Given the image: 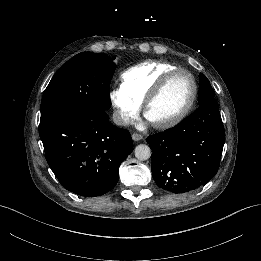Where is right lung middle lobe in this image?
I'll use <instances>...</instances> for the list:
<instances>
[{
	"label": "right lung middle lobe",
	"instance_id": "right-lung-middle-lobe-1",
	"mask_svg": "<svg viewBox=\"0 0 261 261\" xmlns=\"http://www.w3.org/2000/svg\"><path fill=\"white\" fill-rule=\"evenodd\" d=\"M115 57L83 52L67 61L54 75L41 101V118L111 106L110 81Z\"/></svg>",
	"mask_w": 261,
	"mask_h": 261
}]
</instances>
